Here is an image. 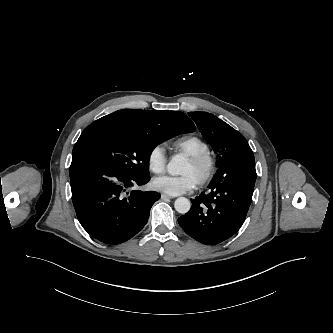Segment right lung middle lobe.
I'll list each match as a JSON object with an SVG mask.
<instances>
[{"instance_id": "dd1d6c3e", "label": "right lung middle lobe", "mask_w": 333, "mask_h": 333, "mask_svg": "<svg viewBox=\"0 0 333 333\" xmlns=\"http://www.w3.org/2000/svg\"><path fill=\"white\" fill-rule=\"evenodd\" d=\"M178 132L149 133L119 124H91L82 132L73 154L86 153L113 169L136 177L149 176V157L161 142Z\"/></svg>"}]
</instances>
